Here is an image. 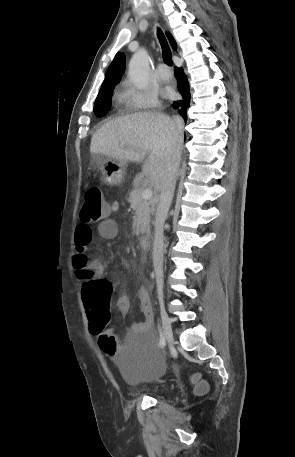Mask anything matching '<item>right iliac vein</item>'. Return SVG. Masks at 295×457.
I'll use <instances>...</instances> for the list:
<instances>
[{"label": "right iliac vein", "mask_w": 295, "mask_h": 457, "mask_svg": "<svg viewBox=\"0 0 295 457\" xmlns=\"http://www.w3.org/2000/svg\"><path fill=\"white\" fill-rule=\"evenodd\" d=\"M160 310H161V321H162L164 337L169 344H172L173 343V333H172L171 321L162 304L160 306Z\"/></svg>", "instance_id": "right-iliac-vein-1"}]
</instances>
